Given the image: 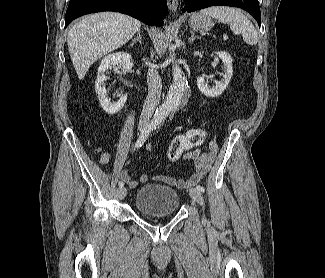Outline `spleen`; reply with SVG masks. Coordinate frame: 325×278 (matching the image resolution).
<instances>
[{
    "instance_id": "1",
    "label": "spleen",
    "mask_w": 325,
    "mask_h": 278,
    "mask_svg": "<svg viewBox=\"0 0 325 278\" xmlns=\"http://www.w3.org/2000/svg\"><path fill=\"white\" fill-rule=\"evenodd\" d=\"M201 14L213 17L221 23L230 25L235 34H241L245 43L256 45L258 33L251 21L240 10L227 6H214L203 9Z\"/></svg>"
}]
</instances>
